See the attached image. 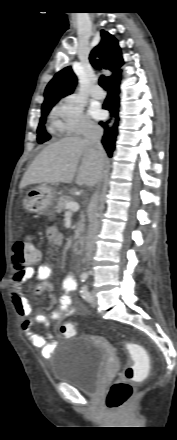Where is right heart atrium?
I'll return each mask as SVG.
<instances>
[{"label":"right heart atrium","mask_w":177,"mask_h":440,"mask_svg":"<svg viewBox=\"0 0 177 440\" xmlns=\"http://www.w3.org/2000/svg\"><path fill=\"white\" fill-rule=\"evenodd\" d=\"M52 119L54 129L60 135H78L94 129L84 113L83 103L73 95H67L55 104Z\"/></svg>","instance_id":"right-heart-atrium-1"}]
</instances>
